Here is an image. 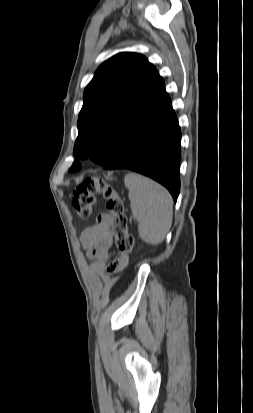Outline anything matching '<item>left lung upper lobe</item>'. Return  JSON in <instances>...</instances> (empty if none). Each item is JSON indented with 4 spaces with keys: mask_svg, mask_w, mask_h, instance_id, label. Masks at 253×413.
<instances>
[{
    "mask_svg": "<svg viewBox=\"0 0 253 413\" xmlns=\"http://www.w3.org/2000/svg\"><path fill=\"white\" fill-rule=\"evenodd\" d=\"M163 83L156 68L140 54L123 52L104 62L87 85L78 118L77 156L69 171L81 169L79 159L102 166L117 155L121 126L139 114Z\"/></svg>",
    "mask_w": 253,
    "mask_h": 413,
    "instance_id": "5c2ea615",
    "label": "left lung upper lobe"
}]
</instances>
